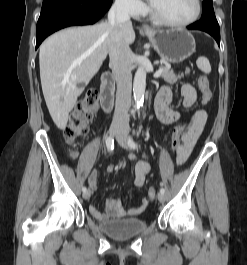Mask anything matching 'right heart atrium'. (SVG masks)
Here are the masks:
<instances>
[{
	"label": "right heart atrium",
	"instance_id": "1",
	"mask_svg": "<svg viewBox=\"0 0 247 265\" xmlns=\"http://www.w3.org/2000/svg\"><path fill=\"white\" fill-rule=\"evenodd\" d=\"M119 10L133 17L140 16L145 12V6L140 0H115Z\"/></svg>",
	"mask_w": 247,
	"mask_h": 265
}]
</instances>
